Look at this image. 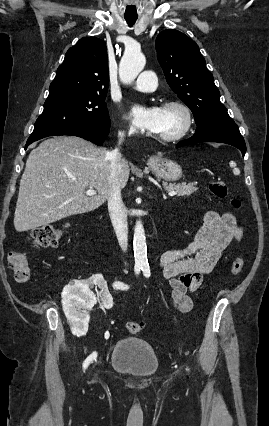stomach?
Segmentation results:
<instances>
[{
    "label": "stomach",
    "mask_w": 269,
    "mask_h": 426,
    "mask_svg": "<svg viewBox=\"0 0 269 426\" xmlns=\"http://www.w3.org/2000/svg\"><path fill=\"white\" fill-rule=\"evenodd\" d=\"M148 164L154 174L166 181H177L182 176L181 166L173 160L156 157Z\"/></svg>",
    "instance_id": "0dacf381"
}]
</instances>
